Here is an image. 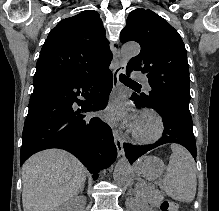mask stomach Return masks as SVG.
Segmentation results:
<instances>
[{
  "label": "stomach",
  "mask_w": 219,
  "mask_h": 211,
  "mask_svg": "<svg viewBox=\"0 0 219 211\" xmlns=\"http://www.w3.org/2000/svg\"><path fill=\"white\" fill-rule=\"evenodd\" d=\"M136 174L148 180L159 178L164 170L163 161L156 156H143L133 166Z\"/></svg>",
  "instance_id": "0dacf381"
}]
</instances>
